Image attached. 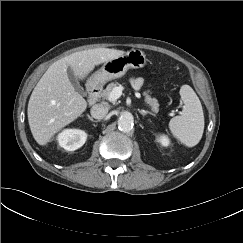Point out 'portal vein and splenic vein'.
Returning a JSON list of instances; mask_svg holds the SVG:
<instances>
[{"instance_id":"1","label":"portal vein and splenic vein","mask_w":243,"mask_h":243,"mask_svg":"<svg viewBox=\"0 0 243 243\" xmlns=\"http://www.w3.org/2000/svg\"><path fill=\"white\" fill-rule=\"evenodd\" d=\"M124 87L123 86H117L115 87L109 97H108V100L110 102H115L121 95H122V91H123Z\"/></svg>"}]
</instances>
